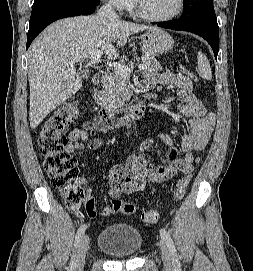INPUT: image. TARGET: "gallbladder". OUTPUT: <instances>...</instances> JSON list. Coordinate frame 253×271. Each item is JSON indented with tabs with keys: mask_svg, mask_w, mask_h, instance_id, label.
Returning a JSON list of instances; mask_svg holds the SVG:
<instances>
[{
	"mask_svg": "<svg viewBox=\"0 0 253 271\" xmlns=\"http://www.w3.org/2000/svg\"><path fill=\"white\" fill-rule=\"evenodd\" d=\"M90 74H91V72H90L89 70H86V69L80 70V71L78 72V76H79L82 80L87 79V78L90 76Z\"/></svg>",
	"mask_w": 253,
	"mask_h": 271,
	"instance_id": "gallbladder-1",
	"label": "gallbladder"
}]
</instances>
